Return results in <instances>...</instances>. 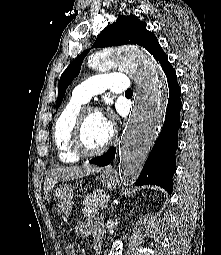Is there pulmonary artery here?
Instances as JSON below:
<instances>
[{"label": "pulmonary artery", "mask_w": 221, "mask_h": 255, "mask_svg": "<svg viewBox=\"0 0 221 255\" xmlns=\"http://www.w3.org/2000/svg\"><path fill=\"white\" fill-rule=\"evenodd\" d=\"M129 89V81L125 74L109 73L88 78L80 83L72 93V101L86 103L93 96L102 94L106 90L116 93L126 92Z\"/></svg>", "instance_id": "obj_1"}]
</instances>
